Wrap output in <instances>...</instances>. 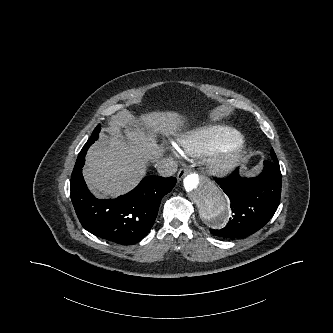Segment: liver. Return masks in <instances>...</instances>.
I'll return each instance as SVG.
<instances>
[{
	"label": "liver",
	"mask_w": 333,
	"mask_h": 333,
	"mask_svg": "<svg viewBox=\"0 0 333 333\" xmlns=\"http://www.w3.org/2000/svg\"><path fill=\"white\" fill-rule=\"evenodd\" d=\"M184 117L175 112H152L119 118L109 134L101 133L90 147L83 170L88 188L97 197H117L132 190L146 173V163L159 157L157 131L177 130Z\"/></svg>",
	"instance_id": "liver-1"
}]
</instances>
